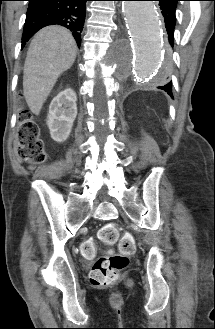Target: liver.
Masks as SVG:
<instances>
[{
  "label": "liver",
  "mask_w": 215,
  "mask_h": 329,
  "mask_svg": "<svg viewBox=\"0 0 215 329\" xmlns=\"http://www.w3.org/2000/svg\"><path fill=\"white\" fill-rule=\"evenodd\" d=\"M76 53V42L64 27L48 26L35 34L23 75L24 97L33 114H40L58 77L73 65Z\"/></svg>",
  "instance_id": "6515ba94"
}]
</instances>
